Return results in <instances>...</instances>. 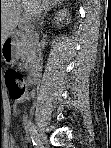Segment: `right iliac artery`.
Masks as SVG:
<instances>
[{"mask_svg": "<svg viewBox=\"0 0 111 148\" xmlns=\"http://www.w3.org/2000/svg\"><path fill=\"white\" fill-rule=\"evenodd\" d=\"M27 128L29 129L30 133L32 134L31 138H32L33 145L37 146V141H36L35 137L33 136L35 133L36 127L33 125V123L31 121H29L27 123Z\"/></svg>", "mask_w": 111, "mask_h": 148, "instance_id": "1", "label": "right iliac artery"}]
</instances>
